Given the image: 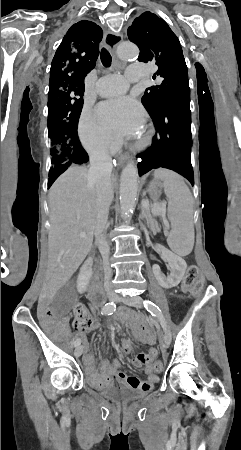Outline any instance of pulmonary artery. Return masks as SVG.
Returning <instances> with one entry per match:
<instances>
[{
	"mask_svg": "<svg viewBox=\"0 0 241 450\" xmlns=\"http://www.w3.org/2000/svg\"><path fill=\"white\" fill-rule=\"evenodd\" d=\"M148 71L147 64H129L125 71L126 78H122L121 74H98L97 93L107 102H116L128 89L127 78H147Z\"/></svg>",
	"mask_w": 241,
	"mask_h": 450,
	"instance_id": "obj_1",
	"label": "pulmonary artery"
}]
</instances>
